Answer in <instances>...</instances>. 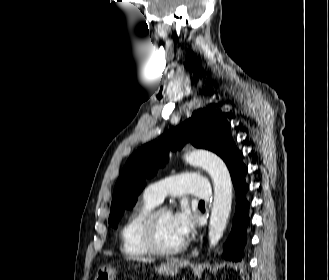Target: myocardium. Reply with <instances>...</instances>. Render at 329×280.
<instances>
[{
	"label": "myocardium",
	"instance_id": "1",
	"mask_svg": "<svg viewBox=\"0 0 329 280\" xmlns=\"http://www.w3.org/2000/svg\"><path fill=\"white\" fill-rule=\"evenodd\" d=\"M163 212H169L166 207H155L144 219L141 226V239L149 252L158 255H173L180 252L184 248L182 241L174 247H163L157 241L156 225L158 217Z\"/></svg>",
	"mask_w": 329,
	"mask_h": 280
}]
</instances>
